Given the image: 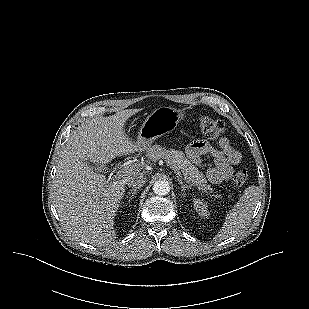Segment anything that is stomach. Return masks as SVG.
I'll list each match as a JSON object with an SVG mask.
<instances>
[{
  "label": "stomach",
  "instance_id": "1",
  "mask_svg": "<svg viewBox=\"0 0 309 309\" xmlns=\"http://www.w3.org/2000/svg\"><path fill=\"white\" fill-rule=\"evenodd\" d=\"M184 118L182 111L172 107L163 106L155 109L140 127L136 144L147 150L156 139L174 130Z\"/></svg>",
  "mask_w": 309,
  "mask_h": 309
}]
</instances>
